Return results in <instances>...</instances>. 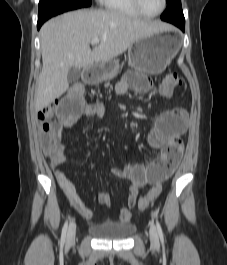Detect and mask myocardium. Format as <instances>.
<instances>
[{
	"mask_svg": "<svg viewBox=\"0 0 227 265\" xmlns=\"http://www.w3.org/2000/svg\"><path fill=\"white\" fill-rule=\"evenodd\" d=\"M131 1L133 3V6L135 7V9L138 11V13L141 16H144L146 18H154V17L159 16L161 13H163V11L165 10L166 5H167V0H162V7H161V9L157 13H155V14H148V13H146V12L143 11V9L141 7V4H140V0H131Z\"/></svg>",
	"mask_w": 227,
	"mask_h": 265,
	"instance_id": "1",
	"label": "myocardium"
}]
</instances>
